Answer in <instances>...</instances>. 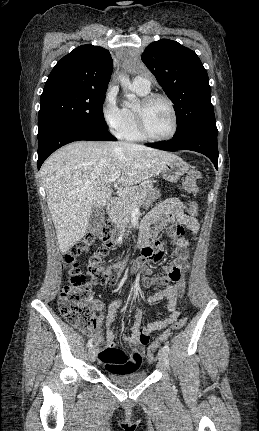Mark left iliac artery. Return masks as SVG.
Returning a JSON list of instances; mask_svg holds the SVG:
<instances>
[{
    "label": "left iliac artery",
    "instance_id": "obj_1",
    "mask_svg": "<svg viewBox=\"0 0 259 431\" xmlns=\"http://www.w3.org/2000/svg\"><path fill=\"white\" fill-rule=\"evenodd\" d=\"M164 349H165V351H166L167 353H169V352H170V348H169L168 344H165Z\"/></svg>",
    "mask_w": 259,
    "mask_h": 431
}]
</instances>
